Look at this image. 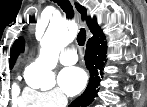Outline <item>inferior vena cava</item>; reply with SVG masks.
I'll return each mask as SVG.
<instances>
[{
  "label": "inferior vena cava",
  "instance_id": "602c4592",
  "mask_svg": "<svg viewBox=\"0 0 147 107\" xmlns=\"http://www.w3.org/2000/svg\"><path fill=\"white\" fill-rule=\"evenodd\" d=\"M62 107H66L67 105V98L65 96L62 97Z\"/></svg>",
  "mask_w": 147,
  "mask_h": 107
}]
</instances>
